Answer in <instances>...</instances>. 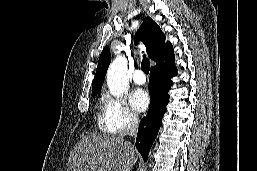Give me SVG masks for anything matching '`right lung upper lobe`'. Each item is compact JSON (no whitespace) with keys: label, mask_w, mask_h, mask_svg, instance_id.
<instances>
[{"label":"right lung upper lobe","mask_w":257,"mask_h":171,"mask_svg":"<svg viewBox=\"0 0 257 171\" xmlns=\"http://www.w3.org/2000/svg\"><path fill=\"white\" fill-rule=\"evenodd\" d=\"M138 40L144 42L149 57L156 62V65L168 64L175 60L171 43H165V34L150 17L143 19V23L135 35V44H138ZM110 61V49L106 46L98 61L96 74L92 83V94L100 93Z\"/></svg>","instance_id":"cb5924a9"}]
</instances>
